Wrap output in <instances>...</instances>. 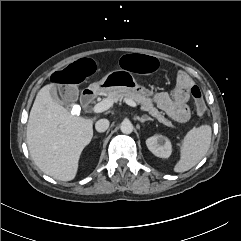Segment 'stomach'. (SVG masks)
<instances>
[{
  "mask_svg": "<svg viewBox=\"0 0 241 241\" xmlns=\"http://www.w3.org/2000/svg\"><path fill=\"white\" fill-rule=\"evenodd\" d=\"M89 88L94 93H108L116 89H129L151 96L152 91L139 85L131 71H123L121 69L114 70L105 75L100 81L90 84Z\"/></svg>",
  "mask_w": 241,
  "mask_h": 241,
  "instance_id": "stomach-1",
  "label": "stomach"
}]
</instances>
